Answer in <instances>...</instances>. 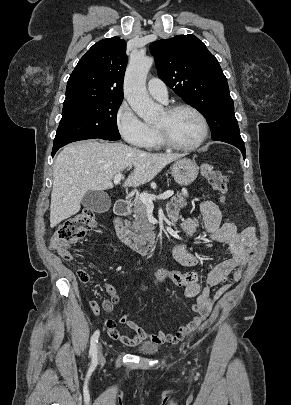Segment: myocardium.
I'll use <instances>...</instances> for the list:
<instances>
[{
  "label": "myocardium",
  "instance_id": "f54148a6",
  "mask_svg": "<svg viewBox=\"0 0 291 405\" xmlns=\"http://www.w3.org/2000/svg\"><path fill=\"white\" fill-rule=\"evenodd\" d=\"M183 109L189 110V111L193 112L194 114H196L202 123V134L197 142L190 144V145L178 144L171 139V137L169 136V134L165 128L156 126V130H157L159 139H160L161 143L163 144V146H166V147L174 149V150L192 151V150L199 148L200 146H202L205 143V141L207 140V138L209 136L210 127H209V123H208L206 116L197 107H195L191 104L178 103V104L169 105L165 108L164 111L168 115H172L175 112H177L179 110H183Z\"/></svg>",
  "mask_w": 291,
  "mask_h": 405
}]
</instances>
